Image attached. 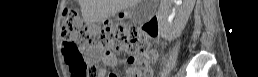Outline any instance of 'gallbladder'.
I'll return each instance as SVG.
<instances>
[{"label": "gallbladder", "mask_w": 258, "mask_h": 77, "mask_svg": "<svg viewBox=\"0 0 258 77\" xmlns=\"http://www.w3.org/2000/svg\"><path fill=\"white\" fill-rule=\"evenodd\" d=\"M155 4L151 0H140L129 12V17L135 23L145 22L154 13Z\"/></svg>", "instance_id": "obj_1"}]
</instances>
